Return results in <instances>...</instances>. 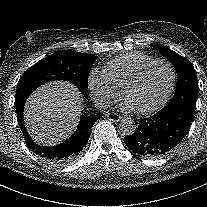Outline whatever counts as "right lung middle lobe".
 Returning <instances> with one entry per match:
<instances>
[{
    "label": "right lung middle lobe",
    "mask_w": 207,
    "mask_h": 207,
    "mask_svg": "<svg viewBox=\"0 0 207 207\" xmlns=\"http://www.w3.org/2000/svg\"><path fill=\"white\" fill-rule=\"evenodd\" d=\"M97 57L76 51L51 54L31 66L17 84L15 103L26 100L40 85L54 80L73 83L82 94L88 89V75Z\"/></svg>",
    "instance_id": "1"
}]
</instances>
